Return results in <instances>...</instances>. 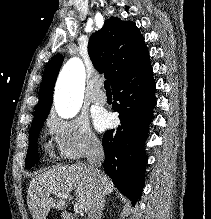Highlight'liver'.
Listing matches in <instances>:
<instances>
[{"instance_id": "1", "label": "liver", "mask_w": 211, "mask_h": 219, "mask_svg": "<svg viewBox=\"0 0 211 219\" xmlns=\"http://www.w3.org/2000/svg\"><path fill=\"white\" fill-rule=\"evenodd\" d=\"M97 185L102 187L105 195H110L115 188L106 174L100 173L97 179L89 166L84 164L57 166L36 175L27 192L28 207L33 219H46L51 208L65 209L67 204L64 199H54L51 196L69 194L73 190L77 204L82 211L88 212Z\"/></svg>"}]
</instances>
